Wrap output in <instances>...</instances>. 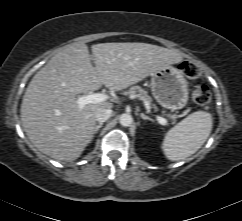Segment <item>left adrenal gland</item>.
<instances>
[{"instance_id":"1","label":"left adrenal gland","mask_w":242,"mask_h":221,"mask_svg":"<svg viewBox=\"0 0 242 221\" xmlns=\"http://www.w3.org/2000/svg\"><path fill=\"white\" fill-rule=\"evenodd\" d=\"M140 116L143 120H149V121L154 122V120L152 118H150L149 116H146L144 113H141Z\"/></svg>"}]
</instances>
